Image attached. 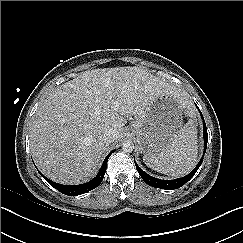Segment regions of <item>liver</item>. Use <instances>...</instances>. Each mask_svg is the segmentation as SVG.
I'll return each mask as SVG.
<instances>
[{"label": "liver", "instance_id": "liver-1", "mask_svg": "<svg viewBox=\"0 0 243 243\" xmlns=\"http://www.w3.org/2000/svg\"><path fill=\"white\" fill-rule=\"evenodd\" d=\"M161 95L182 107L188 94L141 67L88 70L53 91L38 107L31 126L30 150L38 168L53 181L80 184L93 178L110 144L121 138L128 118H137ZM113 141V142H114Z\"/></svg>", "mask_w": 243, "mask_h": 243}]
</instances>
